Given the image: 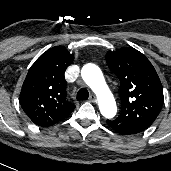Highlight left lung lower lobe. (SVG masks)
<instances>
[{"label": "left lung lower lobe", "instance_id": "left-lung-lower-lobe-1", "mask_svg": "<svg viewBox=\"0 0 171 171\" xmlns=\"http://www.w3.org/2000/svg\"><path fill=\"white\" fill-rule=\"evenodd\" d=\"M107 123L113 130H115L117 133L121 135H131V134L140 133L151 125L149 123H143V122H133V123H126L123 125H114L112 123V120H107Z\"/></svg>", "mask_w": 171, "mask_h": 171}]
</instances>
